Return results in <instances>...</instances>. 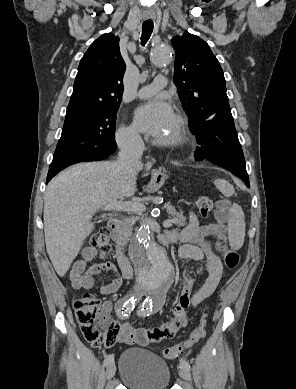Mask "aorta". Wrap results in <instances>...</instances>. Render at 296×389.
I'll return each instance as SVG.
<instances>
[{
	"label": "aorta",
	"instance_id": "1",
	"mask_svg": "<svg viewBox=\"0 0 296 389\" xmlns=\"http://www.w3.org/2000/svg\"><path fill=\"white\" fill-rule=\"evenodd\" d=\"M151 59L156 66L173 62L174 52L166 44H157L151 49ZM129 254L137 269L139 286L149 297L167 290L174 279V268L166 250L154 239L149 227H141L133 237Z\"/></svg>",
	"mask_w": 296,
	"mask_h": 389
}]
</instances>
